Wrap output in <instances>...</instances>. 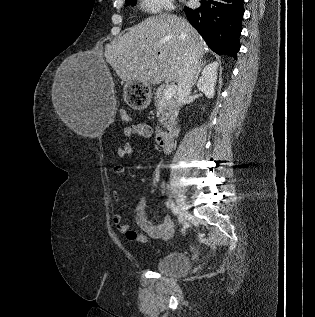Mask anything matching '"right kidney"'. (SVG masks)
<instances>
[{
  "mask_svg": "<svg viewBox=\"0 0 315 317\" xmlns=\"http://www.w3.org/2000/svg\"><path fill=\"white\" fill-rule=\"evenodd\" d=\"M218 63H209L203 70L197 83L199 91L203 92L207 98H213L215 94V84L217 81Z\"/></svg>",
  "mask_w": 315,
  "mask_h": 317,
  "instance_id": "obj_1",
  "label": "right kidney"
}]
</instances>
